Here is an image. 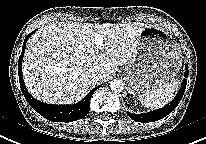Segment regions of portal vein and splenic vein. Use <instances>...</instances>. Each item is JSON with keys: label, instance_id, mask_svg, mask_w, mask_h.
I'll return each instance as SVG.
<instances>
[{"label": "portal vein and splenic vein", "instance_id": "portal-vein-and-splenic-vein-1", "mask_svg": "<svg viewBox=\"0 0 206 144\" xmlns=\"http://www.w3.org/2000/svg\"><path fill=\"white\" fill-rule=\"evenodd\" d=\"M103 40H104V38L102 35H99V34L95 35V42H96V46L98 49H102Z\"/></svg>", "mask_w": 206, "mask_h": 144}]
</instances>
